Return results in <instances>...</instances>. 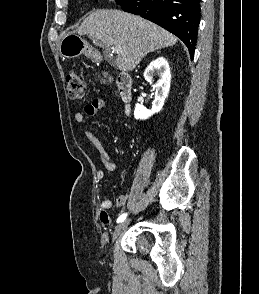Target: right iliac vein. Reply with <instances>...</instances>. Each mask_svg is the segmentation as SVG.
<instances>
[{"instance_id": "63e3f726", "label": "right iliac vein", "mask_w": 259, "mask_h": 294, "mask_svg": "<svg viewBox=\"0 0 259 294\" xmlns=\"http://www.w3.org/2000/svg\"><path fill=\"white\" fill-rule=\"evenodd\" d=\"M130 222V219H127L125 221H122L121 223H119L114 232H113V236H112V241H114L115 239H117V237L122 233L123 230L126 229V227L128 226Z\"/></svg>"}]
</instances>
